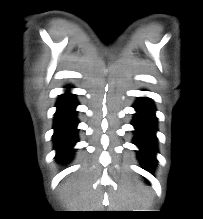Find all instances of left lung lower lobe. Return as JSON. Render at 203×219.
<instances>
[{"label":"left lung lower lobe","instance_id":"1","mask_svg":"<svg viewBox=\"0 0 203 219\" xmlns=\"http://www.w3.org/2000/svg\"><path fill=\"white\" fill-rule=\"evenodd\" d=\"M137 113L134 116L135 127L134 144L139 147L138 157L143 165L152 169L157 152L156 148V116L152 101L147 97H141L134 105Z\"/></svg>","mask_w":203,"mask_h":219}]
</instances>
